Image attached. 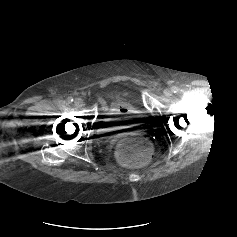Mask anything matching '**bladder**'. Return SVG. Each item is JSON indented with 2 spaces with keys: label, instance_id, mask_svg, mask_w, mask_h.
I'll use <instances>...</instances> for the list:
<instances>
[{
  "label": "bladder",
  "instance_id": "obj_1",
  "mask_svg": "<svg viewBox=\"0 0 237 237\" xmlns=\"http://www.w3.org/2000/svg\"><path fill=\"white\" fill-rule=\"evenodd\" d=\"M123 106L126 108L124 114H109L104 116L98 123V128L102 134H112L120 130L127 129L138 125L143 119V112L137 110L131 105L121 102L116 103L113 107Z\"/></svg>",
  "mask_w": 237,
  "mask_h": 237
}]
</instances>
